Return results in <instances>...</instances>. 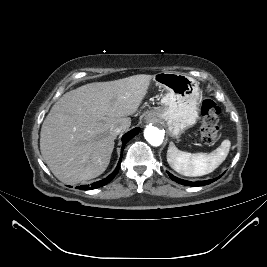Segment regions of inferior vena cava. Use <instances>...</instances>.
Segmentation results:
<instances>
[{
    "label": "inferior vena cava",
    "instance_id": "1",
    "mask_svg": "<svg viewBox=\"0 0 267 267\" xmlns=\"http://www.w3.org/2000/svg\"><path fill=\"white\" fill-rule=\"evenodd\" d=\"M130 125L127 124V123H123V124H120V125H115L112 127V134L117 136L119 135L121 132H124L128 129Z\"/></svg>",
    "mask_w": 267,
    "mask_h": 267
}]
</instances>
